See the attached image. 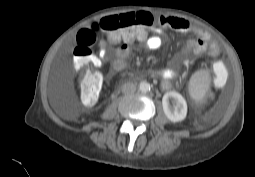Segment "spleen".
<instances>
[{
	"label": "spleen",
	"mask_w": 255,
	"mask_h": 177,
	"mask_svg": "<svg viewBox=\"0 0 255 177\" xmlns=\"http://www.w3.org/2000/svg\"><path fill=\"white\" fill-rule=\"evenodd\" d=\"M210 77L206 70L196 72L190 80V93L193 99L201 101L209 89Z\"/></svg>",
	"instance_id": "spleen-1"
}]
</instances>
